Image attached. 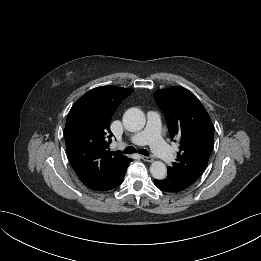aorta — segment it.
<instances>
[{"label":"aorta","mask_w":261,"mask_h":261,"mask_svg":"<svg viewBox=\"0 0 261 261\" xmlns=\"http://www.w3.org/2000/svg\"><path fill=\"white\" fill-rule=\"evenodd\" d=\"M146 118L139 108H129L123 115V124L131 132H137L144 128ZM150 172L155 179H164L167 174L166 165L161 161H154L150 166Z\"/></svg>","instance_id":"1"}]
</instances>
